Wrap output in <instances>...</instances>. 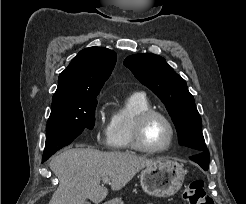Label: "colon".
<instances>
[{"mask_svg": "<svg viewBox=\"0 0 246 204\" xmlns=\"http://www.w3.org/2000/svg\"><path fill=\"white\" fill-rule=\"evenodd\" d=\"M182 196L187 204H215L214 200L206 193L204 182L201 179L190 182Z\"/></svg>", "mask_w": 246, "mask_h": 204, "instance_id": "obj_1", "label": "colon"}]
</instances>
